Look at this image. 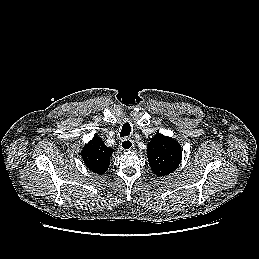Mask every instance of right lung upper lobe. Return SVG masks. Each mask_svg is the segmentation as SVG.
<instances>
[{
	"instance_id": "obj_1",
	"label": "right lung upper lobe",
	"mask_w": 259,
	"mask_h": 259,
	"mask_svg": "<svg viewBox=\"0 0 259 259\" xmlns=\"http://www.w3.org/2000/svg\"><path fill=\"white\" fill-rule=\"evenodd\" d=\"M114 150L107 147L102 139L95 135L91 141L83 147L81 152L85 165L97 174H104L109 165L110 157Z\"/></svg>"
}]
</instances>
